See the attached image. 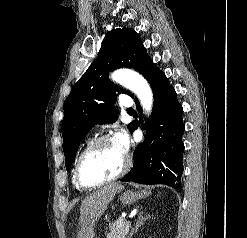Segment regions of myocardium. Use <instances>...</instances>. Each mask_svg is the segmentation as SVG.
<instances>
[{
  "instance_id": "1",
  "label": "myocardium",
  "mask_w": 247,
  "mask_h": 238,
  "mask_svg": "<svg viewBox=\"0 0 247 238\" xmlns=\"http://www.w3.org/2000/svg\"><path fill=\"white\" fill-rule=\"evenodd\" d=\"M113 138L110 135H102L98 138H96L95 140H93L87 147L86 149L80 154L76 164H75V168H74V176H75V181L78 184V186H80L82 189H92V188H97L100 187L102 185L108 184L110 182H113L119 178H121L122 176H124L128 170L130 169L131 166V158L130 156L125 152V159H124V164L122 166V168L120 169V171L118 173H116L115 175L101 180L99 182L96 183H86L81 176V167L83 162L85 161V159L92 154L101 144L107 142V141H112Z\"/></svg>"
}]
</instances>
